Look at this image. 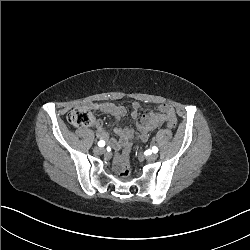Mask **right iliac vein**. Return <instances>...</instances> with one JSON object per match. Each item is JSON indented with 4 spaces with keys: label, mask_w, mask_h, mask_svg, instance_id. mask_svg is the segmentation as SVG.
<instances>
[{
    "label": "right iliac vein",
    "mask_w": 250,
    "mask_h": 250,
    "mask_svg": "<svg viewBox=\"0 0 250 250\" xmlns=\"http://www.w3.org/2000/svg\"><path fill=\"white\" fill-rule=\"evenodd\" d=\"M94 152L96 154H102L104 152V149L103 148H100V147H95L94 148Z\"/></svg>",
    "instance_id": "obj_1"
}]
</instances>
